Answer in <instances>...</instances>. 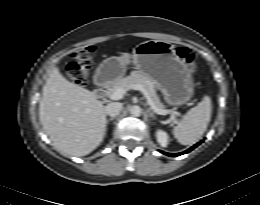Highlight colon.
Listing matches in <instances>:
<instances>
[{
    "label": "colon",
    "instance_id": "obj_1",
    "mask_svg": "<svg viewBox=\"0 0 260 205\" xmlns=\"http://www.w3.org/2000/svg\"><path fill=\"white\" fill-rule=\"evenodd\" d=\"M96 53L95 46H87L71 54L72 61L68 64L67 71L71 79L78 85L84 86L87 83L89 67ZM177 55L184 60L190 69L194 68L195 56L188 48L178 47Z\"/></svg>",
    "mask_w": 260,
    "mask_h": 205
}]
</instances>
